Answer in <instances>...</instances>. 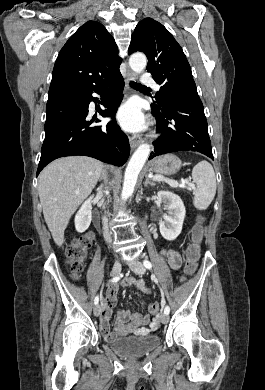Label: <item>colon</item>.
Returning a JSON list of instances; mask_svg holds the SVG:
<instances>
[{
	"mask_svg": "<svg viewBox=\"0 0 265 390\" xmlns=\"http://www.w3.org/2000/svg\"><path fill=\"white\" fill-rule=\"evenodd\" d=\"M203 239L202 227L200 224L194 227L192 243L186 250V262L184 273L191 276L197 269V263L200 258V245ZM93 244V235L90 232L77 237L66 249V257L72 277L78 279L84 269V263L88 252ZM162 302H154L149 306L150 313L157 319L162 307Z\"/></svg>",
	"mask_w": 265,
	"mask_h": 390,
	"instance_id": "obj_1",
	"label": "colon"
}]
</instances>
